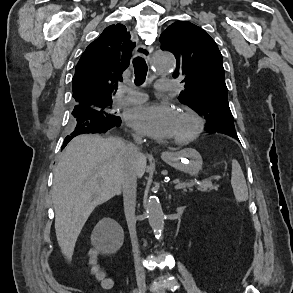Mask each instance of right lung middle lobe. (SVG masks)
<instances>
[{"instance_id": "1", "label": "right lung middle lobe", "mask_w": 293, "mask_h": 293, "mask_svg": "<svg viewBox=\"0 0 293 293\" xmlns=\"http://www.w3.org/2000/svg\"><path fill=\"white\" fill-rule=\"evenodd\" d=\"M97 108H92L95 110H98L104 114H115L114 112L111 111V104H112V100H97L95 101Z\"/></svg>"}]
</instances>
